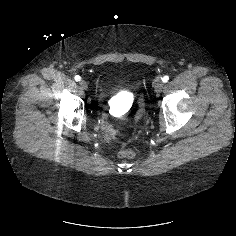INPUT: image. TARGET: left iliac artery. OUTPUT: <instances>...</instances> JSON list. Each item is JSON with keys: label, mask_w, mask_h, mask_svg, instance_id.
<instances>
[{"label": "left iliac artery", "mask_w": 236, "mask_h": 236, "mask_svg": "<svg viewBox=\"0 0 236 236\" xmlns=\"http://www.w3.org/2000/svg\"><path fill=\"white\" fill-rule=\"evenodd\" d=\"M168 80H169V76H167V75L162 78V81L164 83L168 82Z\"/></svg>", "instance_id": "left-iliac-artery-1"}]
</instances>
